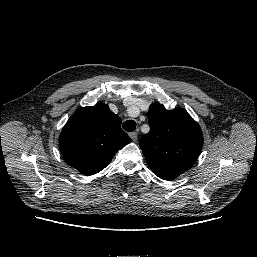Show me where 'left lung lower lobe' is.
I'll list each match as a JSON object with an SVG mask.
<instances>
[{"mask_svg": "<svg viewBox=\"0 0 257 257\" xmlns=\"http://www.w3.org/2000/svg\"><path fill=\"white\" fill-rule=\"evenodd\" d=\"M161 179H164V180H172V179H169V178H162V177H160Z\"/></svg>", "mask_w": 257, "mask_h": 257, "instance_id": "left-lung-lower-lobe-1", "label": "left lung lower lobe"}]
</instances>
